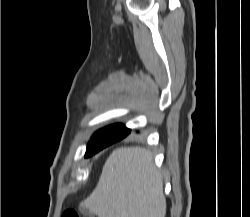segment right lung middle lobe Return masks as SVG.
<instances>
[{"label": "right lung middle lobe", "mask_w": 250, "mask_h": 217, "mask_svg": "<svg viewBox=\"0 0 250 217\" xmlns=\"http://www.w3.org/2000/svg\"><path fill=\"white\" fill-rule=\"evenodd\" d=\"M131 132L121 124H114L97 131L87 145L85 157H90L107 146L125 138Z\"/></svg>", "instance_id": "dd1d6c3e"}]
</instances>
